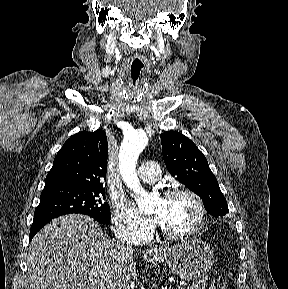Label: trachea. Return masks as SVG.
<instances>
[{
  "instance_id": "obj_1",
  "label": "trachea",
  "mask_w": 288,
  "mask_h": 289,
  "mask_svg": "<svg viewBox=\"0 0 288 289\" xmlns=\"http://www.w3.org/2000/svg\"><path fill=\"white\" fill-rule=\"evenodd\" d=\"M145 70L144 60L134 57L129 66L128 97L134 101L138 96V84Z\"/></svg>"
}]
</instances>
